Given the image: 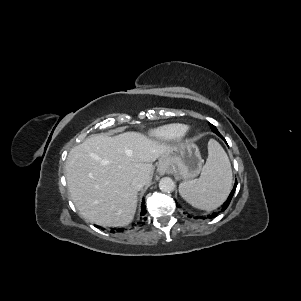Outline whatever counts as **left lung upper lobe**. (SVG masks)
Masks as SVG:
<instances>
[{
    "label": "left lung upper lobe",
    "mask_w": 301,
    "mask_h": 301,
    "mask_svg": "<svg viewBox=\"0 0 301 301\" xmlns=\"http://www.w3.org/2000/svg\"><path fill=\"white\" fill-rule=\"evenodd\" d=\"M209 125H210L212 131H214L215 129H217L214 125H212V124H210V123H209Z\"/></svg>",
    "instance_id": "1"
}]
</instances>
